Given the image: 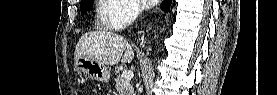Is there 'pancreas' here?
<instances>
[{"mask_svg":"<svg viewBox=\"0 0 277 95\" xmlns=\"http://www.w3.org/2000/svg\"><path fill=\"white\" fill-rule=\"evenodd\" d=\"M115 88L119 95H133L134 92V88L130 80L124 78L120 74H117L115 78Z\"/></svg>","mask_w":277,"mask_h":95,"instance_id":"1","label":"pancreas"}]
</instances>
